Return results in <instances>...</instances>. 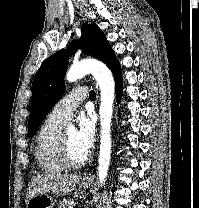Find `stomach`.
<instances>
[{"mask_svg":"<svg viewBox=\"0 0 199 208\" xmlns=\"http://www.w3.org/2000/svg\"><path fill=\"white\" fill-rule=\"evenodd\" d=\"M81 184L84 188H89L91 186L90 181L82 180ZM53 205V198L47 193H42L29 199L26 203V208H53Z\"/></svg>","mask_w":199,"mask_h":208,"instance_id":"obj_1","label":"stomach"}]
</instances>
